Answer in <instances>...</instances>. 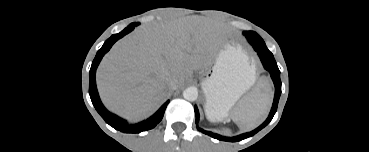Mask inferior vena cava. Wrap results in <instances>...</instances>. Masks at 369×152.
<instances>
[{
  "label": "inferior vena cava",
  "mask_w": 369,
  "mask_h": 152,
  "mask_svg": "<svg viewBox=\"0 0 369 152\" xmlns=\"http://www.w3.org/2000/svg\"><path fill=\"white\" fill-rule=\"evenodd\" d=\"M167 84L170 88H174V81L171 78L167 79Z\"/></svg>",
  "instance_id": "1"
}]
</instances>
